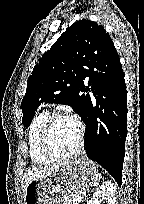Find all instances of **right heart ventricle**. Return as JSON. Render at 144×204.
Instances as JSON below:
<instances>
[{"label": "right heart ventricle", "mask_w": 144, "mask_h": 204, "mask_svg": "<svg viewBox=\"0 0 144 204\" xmlns=\"http://www.w3.org/2000/svg\"><path fill=\"white\" fill-rule=\"evenodd\" d=\"M48 117V111H40L32 119L28 130L27 144L29 157L31 162L37 166L48 165L52 162V160L44 156L39 145L41 131Z\"/></svg>", "instance_id": "1"}]
</instances>
